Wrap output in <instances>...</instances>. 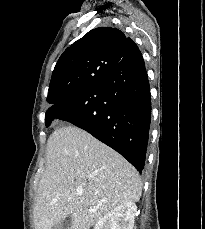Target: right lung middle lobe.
Segmentation results:
<instances>
[{
    "instance_id": "obj_1",
    "label": "right lung middle lobe",
    "mask_w": 205,
    "mask_h": 229,
    "mask_svg": "<svg viewBox=\"0 0 205 229\" xmlns=\"http://www.w3.org/2000/svg\"><path fill=\"white\" fill-rule=\"evenodd\" d=\"M104 78H106V76H99V77H97V78L95 79V82H97V81H99V80H101V79H104Z\"/></svg>"
}]
</instances>
